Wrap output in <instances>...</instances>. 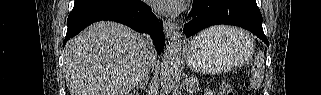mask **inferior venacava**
Here are the masks:
<instances>
[{"instance_id": "1", "label": "inferior vena cava", "mask_w": 321, "mask_h": 95, "mask_svg": "<svg viewBox=\"0 0 321 95\" xmlns=\"http://www.w3.org/2000/svg\"><path fill=\"white\" fill-rule=\"evenodd\" d=\"M144 38H145L146 43H147L150 47L153 48L152 42H151L150 38H149L148 36H145ZM151 67H152V63L149 62L148 65H147V68H146V70H145V73H144V77H145V78L148 77V74H149V72H150ZM144 77H143V79H144Z\"/></svg>"}]
</instances>
